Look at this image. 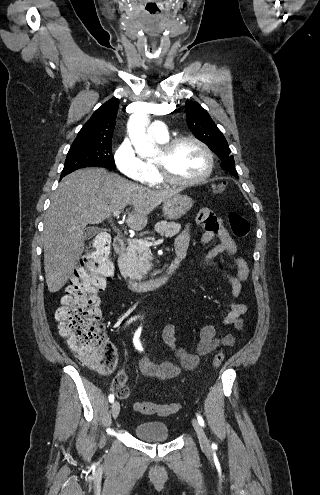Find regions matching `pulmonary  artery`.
<instances>
[{
	"label": "pulmonary artery",
	"instance_id": "obj_1",
	"mask_svg": "<svg viewBox=\"0 0 320 495\" xmlns=\"http://www.w3.org/2000/svg\"><path fill=\"white\" fill-rule=\"evenodd\" d=\"M148 134L161 141H166L169 136L167 126L162 121L153 122L148 128Z\"/></svg>",
	"mask_w": 320,
	"mask_h": 495
}]
</instances>
